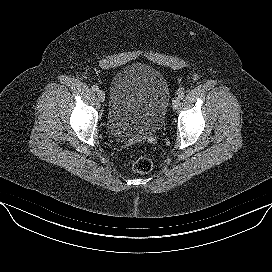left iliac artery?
Instances as JSON below:
<instances>
[{"label":"left iliac artery","instance_id":"left-iliac-artery-1","mask_svg":"<svg viewBox=\"0 0 272 272\" xmlns=\"http://www.w3.org/2000/svg\"><path fill=\"white\" fill-rule=\"evenodd\" d=\"M181 99H183V97L185 96V92H180L179 95H178Z\"/></svg>","mask_w":272,"mask_h":272}]
</instances>
